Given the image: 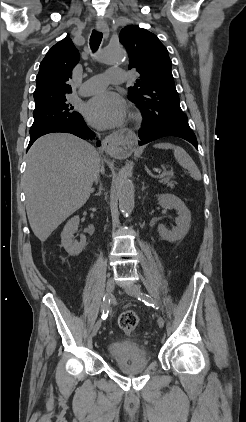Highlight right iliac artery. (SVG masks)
Returning a JSON list of instances; mask_svg holds the SVG:
<instances>
[{
  "instance_id": "1",
  "label": "right iliac artery",
  "mask_w": 246,
  "mask_h": 422,
  "mask_svg": "<svg viewBox=\"0 0 246 422\" xmlns=\"http://www.w3.org/2000/svg\"><path fill=\"white\" fill-rule=\"evenodd\" d=\"M110 310V297L108 294H105L103 297V304H102V315L101 319L105 320L108 316Z\"/></svg>"
}]
</instances>
